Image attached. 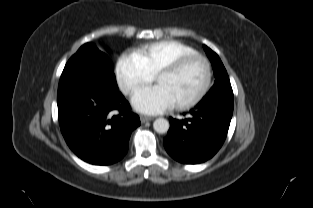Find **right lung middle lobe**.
<instances>
[{"mask_svg": "<svg viewBox=\"0 0 313 208\" xmlns=\"http://www.w3.org/2000/svg\"><path fill=\"white\" fill-rule=\"evenodd\" d=\"M80 56H89L100 61L107 69L112 70V64L108 56L98 50L92 43H86L80 47L75 55H73L66 64V68L70 67L72 63Z\"/></svg>", "mask_w": 313, "mask_h": 208, "instance_id": "right-lung-middle-lobe-1", "label": "right lung middle lobe"}]
</instances>
